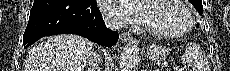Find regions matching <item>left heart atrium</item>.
Listing matches in <instances>:
<instances>
[{
    "mask_svg": "<svg viewBox=\"0 0 230 71\" xmlns=\"http://www.w3.org/2000/svg\"><path fill=\"white\" fill-rule=\"evenodd\" d=\"M104 10L115 18L130 24L146 23L145 1L135 0H104Z\"/></svg>",
    "mask_w": 230,
    "mask_h": 71,
    "instance_id": "39dd6f15",
    "label": "left heart atrium"
}]
</instances>
